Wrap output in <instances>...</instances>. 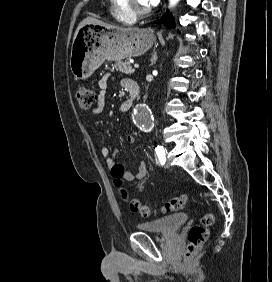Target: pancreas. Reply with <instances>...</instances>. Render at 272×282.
Masks as SVG:
<instances>
[{
    "label": "pancreas",
    "mask_w": 272,
    "mask_h": 282,
    "mask_svg": "<svg viewBox=\"0 0 272 282\" xmlns=\"http://www.w3.org/2000/svg\"><path fill=\"white\" fill-rule=\"evenodd\" d=\"M113 69H115L116 71H119L121 73H125V74H132L134 72V69L131 67V64L129 61H118L115 62L114 64H112Z\"/></svg>",
    "instance_id": "pancreas-1"
}]
</instances>
